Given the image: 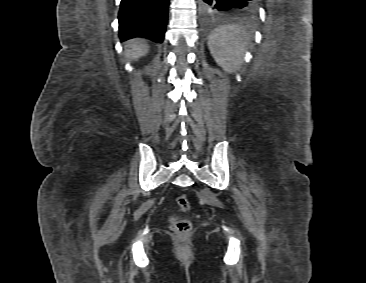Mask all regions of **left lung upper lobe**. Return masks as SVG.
Returning <instances> with one entry per match:
<instances>
[{"mask_svg":"<svg viewBox=\"0 0 366 283\" xmlns=\"http://www.w3.org/2000/svg\"><path fill=\"white\" fill-rule=\"evenodd\" d=\"M256 9H257V7H255V9L250 10V11H248V12H254V11H256Z\"/></svg>","mask_w":366,"mask_h":283,"instance_id":"1","label":"left lung upper lobe"}]
</instances>
